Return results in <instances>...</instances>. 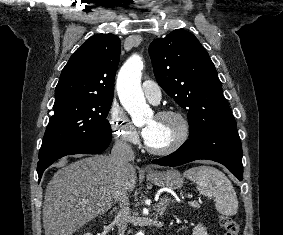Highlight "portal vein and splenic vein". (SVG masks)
<instances>
[{
    "label": "portal vein and splenic vein",
    "mask_w": 283,
    "mask_h": 235,
    "mask_svg": "<svg viewBox=\"0 0 283 235\" xmlns=\"http://www.w3.org/2000/svg\"><path fill=\"white\" fill-rule=\"evenodd\" d=\"M189 204L194 205V204H197V203L195 201H191V202H189Z\"/></svg>",
    "instance_id": "portal-vein-and-splenic-vein-1"
}]
</instances>
